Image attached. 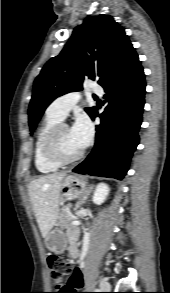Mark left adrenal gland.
Returning a JSON list of instances; mask_svg holds the SVG:
<instances>
[{
  "label": "left adrenal gland",
  "mask_w": 170,
  "mask_h": 293,
  "mask_svg": "<svg viewBox=\"0 0 170 293\" xmlns=\"http://www.w3.org/2000/svg\"><path fill=\"white\" fill-rule=\"evenodd\" d=\"M92 190H93V186H90V188L87 190L85 195H83L82 199L78 202L77 207H80L82 204L86 203Z\"/></svg>",
  "instance_id": "1"
}]
</instances>
